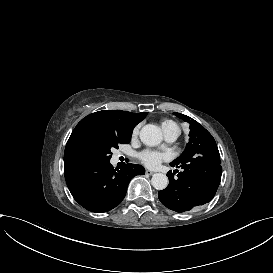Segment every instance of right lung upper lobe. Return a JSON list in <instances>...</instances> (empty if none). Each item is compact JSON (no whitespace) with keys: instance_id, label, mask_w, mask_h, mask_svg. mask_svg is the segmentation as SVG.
<instances>
[{"instance_id":"right-lung-upper-lobe-1","label":"right lung upper lobe","mask_w":273,"mask_h":273,"mask_svg":"<svg viewBox=\"0 0 273 273\" xmlns=\"http://www.w3.org/2000/svg\"><path fill=\"white\" fill-rule=\"evenodd\" d=\"M147 115L143 113H131L122 110H104L92 113L83 118L74 128L65 148L64 175L70 177L79 169L85 167L71 153V147L75 139L86 130L113 134L121 138H131L133 128Z\"/></svg>"}]
</instances>
